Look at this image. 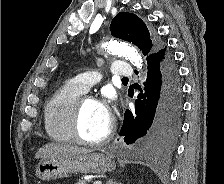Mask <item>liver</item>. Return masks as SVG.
I'll return each instance as SVG.
<instances>
[{"instance_id":"liver-1","label":"liver","mask_w":224,"mask_h":184,"mask_svg":"<svg viewBox=\"0 0 224 184\" xmlns=\"http://www.w3.org/2000/svg\"><path fill=\"white\" fill-rule=\"evenodd\" d=\"M92 150L80 148L77 146L58 144V143H48L41 147L36 155V159H53L66 156H74L84 153H90Z\"/></svg>"}]
</instances>
